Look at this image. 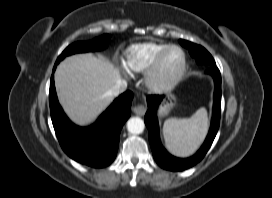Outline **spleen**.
<instances>
[{"label": "spleen", "instance_id": "3e777b00", "mask_svg": "<svg viewBox=\"0 0 272 198\" xmlns=\"http://www.w3.org/2000/svg\"><path fill=\"white\" fill-rule=\"evenodd\" d=\"M208 130L205 108L198 109L190 118H169L163 125V136L167 149L174 155H192L203 142Z\"/></svg>", "mask_w": 272, "mask_h": 198}]
</instances>
